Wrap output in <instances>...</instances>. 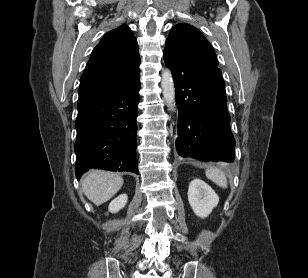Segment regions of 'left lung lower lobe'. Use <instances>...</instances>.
<instances>
[{
	"instance_id": "obj_1",
	"label": "left lung lower lobe",
	"mask_w": 308,
	"mask_h": 278,
	"mask_svg": "<svg viewBox=\"0 0 308 278\" xmlns=\"http://www.w3.org/2000/svg\"><path fill=\"white\" fill-rule=\"evenodd\" d=\"M178 105L176 150L183 158L232 162L225 83L219 68L188 77L173 74Z\"/></svg>"
}]
</instances>
